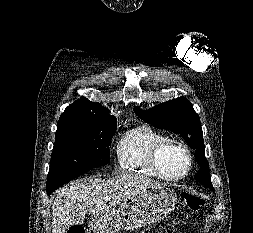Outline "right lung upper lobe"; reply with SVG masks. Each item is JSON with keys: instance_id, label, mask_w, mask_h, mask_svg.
Instances as JSON below:
<instances>
[{"instance_id": "obj_1", "label": "right lung upper lobe", "mask_w": 253, "mask_h": 233, "mask_svg": "<svg viewBox=\"0 0 253 233\" xmlns=\"http://www.w3.org/2000/svg\"><path fill=\"white\" fill-rule=\"evenodd\" d=\"M62 115H81L116 119L115 117L111 116L107 108L102 107L100 103L91 102L85 97H82L68 106Z\"/></svg>"}]
</instances>
